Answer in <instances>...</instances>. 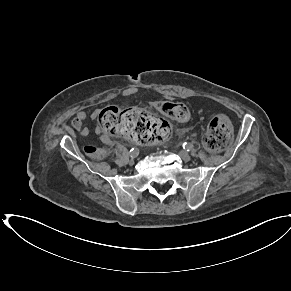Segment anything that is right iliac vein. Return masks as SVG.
Instances as JSON below:
<instances>
[{
  "mask_svg": "<svg viewBox=\"0 0 291 291\" xmlns=\"http://www.w3.org/2000/svg\"><path fill=\"white\" fill-rule=\"evenodd\" d=\"M129 164H130V165H133V164H134V159H131V160L129 161Z\"/></svg>",
  "mask_w": 291,
  "mask_h": 291,
  "instance_id": "63e3f726",
  "label": "right iliac vein"
}]
</instances>
